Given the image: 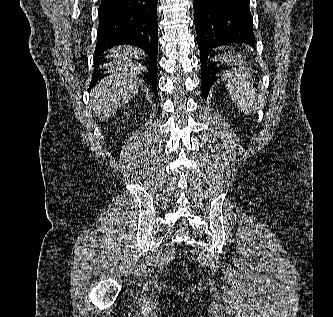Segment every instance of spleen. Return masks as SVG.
Returning a JSON list of instances; mask_svg holds the SVG:
<instances>
[{"mask_svg": "<svg viewBox=\"0 0 333 317\" xmlns=\"http://www.w3.org/2000/svg\"><path fill=\"white\" fill-rule=\"evenodd\" d=\"M227 59L235 64V68L223 73L224 79L228 82V93L237 107L248 115L256 100L255 88L248 79L250 69L245 67L244 64L238 66V63H243L238 57L229 55Z\"/></svg>", "mask_w": 333, "mask_h": 317, "instance_id": "obj_1", "label": "spleen"}]
</instances>
